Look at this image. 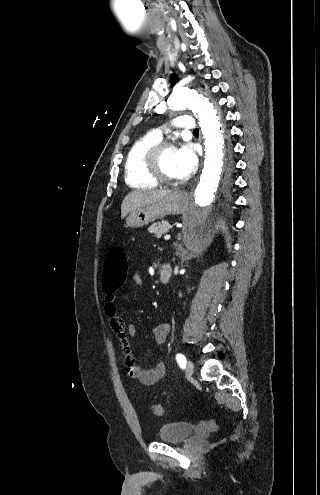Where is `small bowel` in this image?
Instances as JSON below:
<instances>
[{"mask_svg":"<svg viewBox=\"0 0 320 495\" xmlns=\"http://www.w3.org/2000/svg\"><path fill=\"white\" fill-rule=\"evenodd\" d=\"M134 280L137 284L141 283V278L138 274L134 275ZM115 291L105 290L104 312L108 317L112 330L120 339L124 353L125 371L130 378L138 380L143 385H153L163 378L166 371L165 365L164 363H158L151 369H143L136 363L130 347V340L136 337L137 329L134 324L125 322L120 318ZM171 328V323H163L153 329V336L157 344L162 345L165 343Z\"/></svg>","mask_w":320,"mask_h":495,"instance_id":"obj_1","label":"small bowel"}]
</instances>
